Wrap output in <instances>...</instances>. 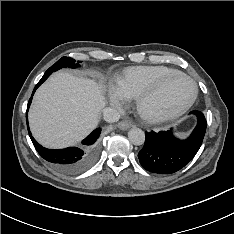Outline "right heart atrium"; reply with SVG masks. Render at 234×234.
I'll use <instances>...</instances> for the list:
<instances>
[{
  "mask_svg": "<svg viewBox=\"0 0 234 234\" xmlns=\"http://www.w3.org/2000/svg\"><path fill=\"white\" fill-rule=\"evenodd\" d=\"M109 98L111 103L117 107H122L125 104L124 97L119 93V91L116 88H110Z\"/></svg>",
  "mask_w": 234,
  "mask_h": 234,
  "instance_id": "obj_1",
  "label": "right heart atrium"
}]
</instances>
